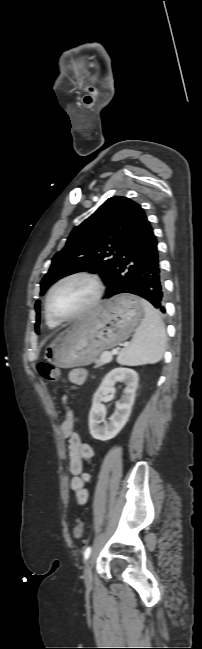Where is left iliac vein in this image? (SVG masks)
<instances>
[{
  "mask_svg": "<svg viewBox=\"0 0 202 649\" xmlns=\"http://www.w3.org/2000/svg\"><path fill=\"white\" fill-rule=\"evenodd\" d=\"M83 577H84L85 585L88 588H90L92 586V582H93L92 569H91V560L90 559H88V561L85 564Z\"/></svg>",
  "mask_w": 202,
  "mask_h": 649,
  "instance_id": "4c4485c4",
  "label": "left iliac vein"
}]
</instances>
